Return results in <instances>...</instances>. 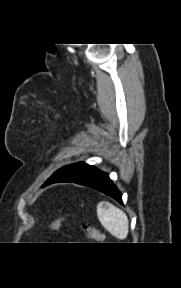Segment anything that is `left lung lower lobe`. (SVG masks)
I'll list each match as a JSON object with an SVG mask.
<instances>
[{
    "label": "left lung lower lobe",
    "mask_w": 181,
    "mask_h": 288,
    "mask_svg": "<svg viewBox=\"0 0 181 288\" xmlns=\"http://www.w3.org/2000/svg\"><path fill=\"white\" fill-rule=\"evenodd\" d=\"M52 183H57V182L47 181L42 185V187H45V186L50 185ZM77 184L95 188V189L103 192L104 194L111 196L120 204H123L122 195H121L120 191L113 184V182L110 180L108 174L105 172L97 170L95 173H93L92 175L81 180Z\"/></svg>",
    "instance_id": "obj_1"
}]
</instances>
